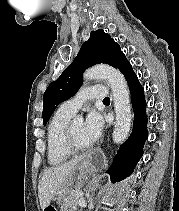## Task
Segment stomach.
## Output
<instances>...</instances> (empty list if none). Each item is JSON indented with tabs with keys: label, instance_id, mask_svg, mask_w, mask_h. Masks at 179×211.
<instances>
[{
	"label": "stomach",
	"instance_id": "obj_1",
	"mask_svg": "<svg viewBox=\"0 0 179 211\" xmlns=\"http://www.w3.org/2000/svg\"><path fill=\"white\" fill-rule=\"evenodd\" d=\"M92 165L89 159H86L80 166L72 171L62 189L60 194H57V197H62L65 193L69 192L72 188L80 189L85 180L87 179V174L90 172Z\"/></svg>",
	"mask_w": 179,
	"mask_h": 211
}]
</instances>
